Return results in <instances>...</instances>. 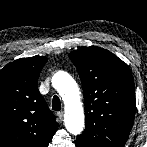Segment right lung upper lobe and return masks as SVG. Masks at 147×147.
Here are the masks:
<instances>
[{"mask_svg":"<svg viewBox=\"0 0 147 147\" xmlns=\"http://www.w3.org/2000/svg\"><path fill=\"white\" fill-rule=\"evenodd\" d=\"M44 56L18 59L0 70V147H48L58 129L37 88Z\"/></svg>","mask_w":147,"mask_h":147,"instance_id":"1","label":"right lung upper lobe"}]
</instances>
